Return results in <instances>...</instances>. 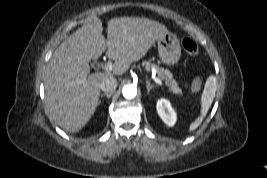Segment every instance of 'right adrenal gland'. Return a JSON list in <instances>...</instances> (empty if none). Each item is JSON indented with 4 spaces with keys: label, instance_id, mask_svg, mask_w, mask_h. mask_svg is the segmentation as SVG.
<instances>
[{
    "label": "right adrenal gland",
    "instance_id": "1",
    "mask_svg": "<svg viewBox=\"0 0 267 178\" xmlns=\"http://www.w3.org/2000/svg\"><path fill=\"white\" fill-rule=\"evenodd\" d=\"M106 96L108 99H110V97L112 96V93H104L101 95V97Z\"/></svg>",
    "mask_w": 267,
    "mask_h": 178
}]
</instances>
